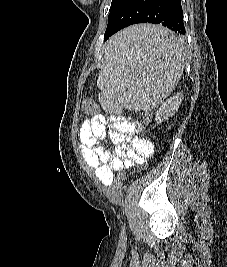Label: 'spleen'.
I'll return each instance as SVG.
<instances>
[{
	"instance_id": "3e777b00",
	"label": "spleen",
	"mask_w": 227,
	"mask_h": 267,
	"mask_svg": "<svg viewBox=\"0 0 227 267\" xmlns=\"http://www.w3.org/2000/svg\"><path fill=\"white\" fill-rule=\"evenodd\" d=\"M104 55L108 59L100 82L103 93L98 105H117V108L135 101L136 104L161 102L176 87L182 76L184 46L173 32L158 22H134L127 29L115 33L111 42H105ZM106 115H129V110L102 106ZM153 111V106H145Z\"/></svg>"
}]
</instances>
